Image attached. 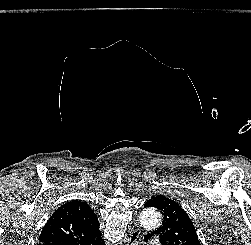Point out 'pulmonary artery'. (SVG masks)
<instances>
[{
	"mask_svg": "<svg viewBox=\"0 0 251 245\" xmlns=\"http://www.w3.org/2000/svg\"><path fill=\"white\" fill-rule=\"evenodd\" d=\"M151 245H160L159 241L157 239H153L151 242H150Z\"/></svg>",
	"mask_w": 251,
	"mask_h": 245,
	"instance_id": "obj_1",
	"label": "pulmonary artery"
}]
</instances>
